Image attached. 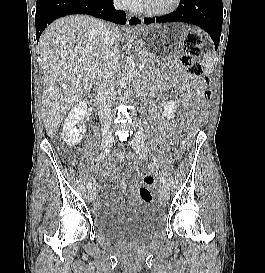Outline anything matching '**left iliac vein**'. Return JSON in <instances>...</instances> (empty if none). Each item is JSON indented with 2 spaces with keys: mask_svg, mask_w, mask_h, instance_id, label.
Instances as JSON below:
<instances>
[{
  "mask_svg": "<svg viewBox=\"0 0 265 273\" xmlns=\"http://www.w3.org/2000/svg\"><path fill=\"white\" fill-rule=\"evenodd\" d=\"M130 145L143 159L146 158V149L141 139H139L137 136H134L130 142ZM161 194L164 201L169 200V186L165 182L162 184Z\"/></svg>",
  "mask_w": 265,
  "mask_h": 273,
  "instance_id": "4c4485c4",
  "label": "left iliac vein"
}]
</instances>
